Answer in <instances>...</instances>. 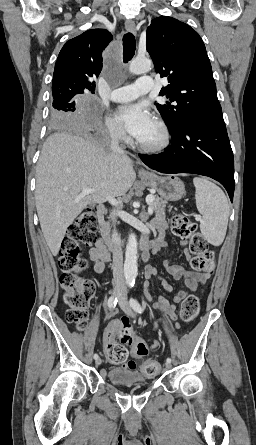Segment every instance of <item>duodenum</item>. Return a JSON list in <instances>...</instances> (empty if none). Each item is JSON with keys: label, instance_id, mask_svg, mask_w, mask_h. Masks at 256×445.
<instances>
[{"label": "duodenum", "instance_id": "duodenum-1", "mask_svg": "<svg viewBox=\"0 0 256 445\" xmlns=\"http://www.w3.org/2000/svg\"><path fill=\"white\" fill-rule=\"evenodd\" d=\"M104 215H105V207L102 205L98 206V221H99L100 233H101V237L104 241V245L108 250H110L112 252L118 251L121 248V246L127 244V241L122 240L120 243H118L110 236V234L105 226ZM152 244H153V242L148 237L143 236L139 240L138 247L141 250H146L147 248L152 246ZM143 260L144 261L148 260L147 253H144Z\"/></svg>", "mask_w": 256, "mask_h": 445}]
</instances>
